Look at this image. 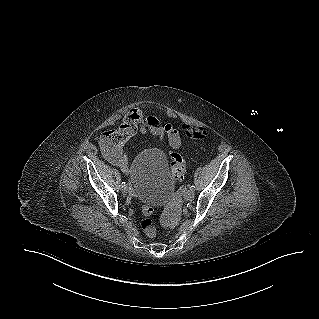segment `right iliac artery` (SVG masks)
Listing matches in <instances>:
<instances>
[{
  "label": "right iliac artery",
  "mask_w": 319,
  "mask_h": 319,
  "mask_svg": "<svg viewBox=\"0 0 319 319\" xmlns=\"http://www.w3.org/2000/svg\"><path fill=\"white\" fill-rule=\"evenodd\" d=\"M126 183L125 182H122V186H124Z\"/></svg>",
  "instance_id": "82829eb1"
}]
</instances>
